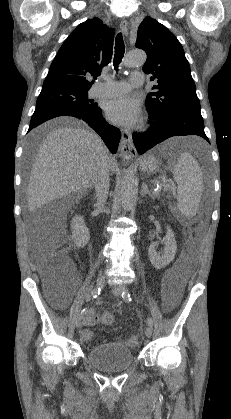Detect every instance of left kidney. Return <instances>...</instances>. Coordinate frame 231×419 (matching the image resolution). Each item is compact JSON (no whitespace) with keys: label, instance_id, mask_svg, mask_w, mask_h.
I'll return each mask as SVG.
<instances>
[{"label":"left kidney","instance_id":"1","mask_svg":"<svg viewBox=\"0 0 231 419\" xmlns=\"http://www.w3.org/2000/svg\"><path fill=\"white\" fill-rule=\"evenodd\" d=\"M162 243L165 245L162 255L156 252L155 242H153L148 249L149 259L151 264L156 269H162L174 260L177 244L174 238V233L170 227L167 228V233L166 236L162 239Z\"/></svg>","mask_w":231,"mask_h":419}]
</instances>
